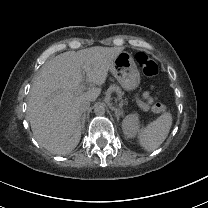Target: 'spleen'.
Returning <instances> with one entry per match:
<instances>
[{
  "label": "spleen",
  "instance_id": "spleen-1",
  "mask_svg": "<svg viewBox=\"0 0 208 208\" xmlns=\"http://www.w3.org/2000/svg\"><path fill=\"white\" fill-rule=\"evenodd\" d=\"M171 125V113L164 112L155 121L141 129L138 135L140 145L147 151L157 149L167 138Z\"/></svg>",
  "mask_w": 208,
  "mask_h": 208
}]
</instances>
